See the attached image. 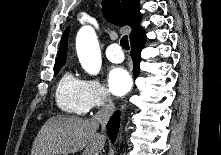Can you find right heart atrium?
<instances>
[{"mask_svg": "<svg viewBox=\"0 0 221 155\" xmlns=\"http://www.w3.org/2000/svg\"><path fill=\"white\" fill-rule=\"evenodd\" d=\"M85 96L90 108H100L111 103L106 87L97 79L84 80Z\"/></svg>", "mask_w": 221, "mask_h": 155, "instance_id": "obj_1", "label": "right heart atrium"}]
</instances>
